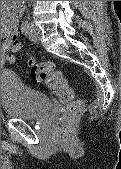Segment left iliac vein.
Listing matches in <instances>:
<instances>
[{"mask_svg": "<svg viewBox=\"0 0 121 169\" xmlns=\"http://www.w3.org/2000/svg\"><path fill=\"white\" fill-rule=\"evenodd\" d=\"M29 39L35 43H38L41 39V31L39 28L35 27L34 24H31L30 29L27 32Z\"/></svg>", "mask_w": 121, "mask_h": 169, "instance_id": "left-iliac-vein-1", "label": "left iliac vein"}]
</instances>
